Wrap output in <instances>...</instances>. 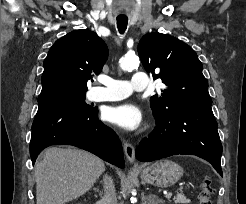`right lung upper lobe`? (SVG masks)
Listing matches in <instances>:
<instances>
[{
	"label": "right lung upper lobe",
	"instance_id": "1",
	"mask_svg": "<svg viewBox=\"0 0 246 204\" xmlns=\"http://www.w3.org/2000/svg\"><path fill=\"white\" fill-rule=\"evenodd\" d=\"M108 48L93 31L75 30L57 40L44 60L38 102L62 94L86 93L87 81L102 71Z\"/></svg>",
	"mask_w": 246,
	"mask_h": 204
}]
</instances>
